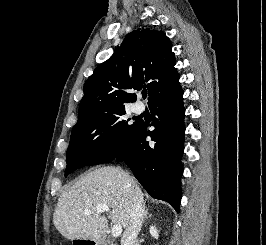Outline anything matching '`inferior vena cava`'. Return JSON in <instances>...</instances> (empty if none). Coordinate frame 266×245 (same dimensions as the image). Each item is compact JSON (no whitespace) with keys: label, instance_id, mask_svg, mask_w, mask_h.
<instances>
[{"label":"inferior vena cava","instance_id":"602c4592","mask_svg":"<svg viewBox=\"0 0 266 245\" xmlns=\"http://www.w3.org/2000/svg\"><path fill=\"white\" fill-rule=\"evenodd\" d=\"M128 191H131L130 219L128 227H126L121 237V245H134L135 239L141 231L144 217L145 205L143 203V197L139 187H135V189L129 187Z\"/></svg>","mask_w":266,"mask_h":245}]
</instances>
